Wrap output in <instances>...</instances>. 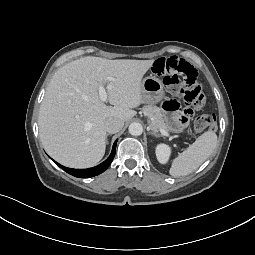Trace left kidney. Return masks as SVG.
I'll list each match as a JSON object with an SVG mask.
<instances>
[{"label":"left kidney","instance_id":"left-kidney-1","mask_svg":"<svg viewBox=\"0 0 255 255\" xmlns=\"http://www.w3.org/2000/svg\"><path fill=\"white\" fill-rule=\"evenodd\" d=\"M155 153L158 161L161 164H166L171 154V148L166 144H158Z\"/></svg>","mask_w":255,"mask_h":255}]
</instances>
